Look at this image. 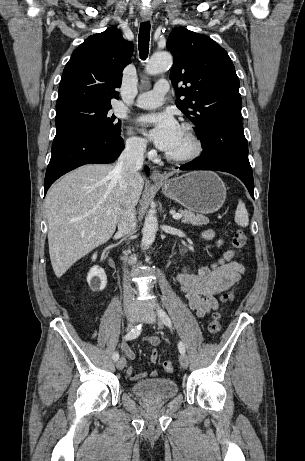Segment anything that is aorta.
Masks as SVG:
<instances>
[{"label":"aorta","instance_id":"obj_1","mask_svg":"<svg viewBox=\"0 0 305 461\" xmlns=\"http://www.w3.org/2000/svg\"><path fill=\"white\" fill-rule=\"evenodd\" d=\"M172 63L173 59L169 53H155L146 65V73L149 75L158 74L171 67ZM157 228V217L155 216L154 212L149 211L147 216L145 217L144 226L142 230V244L145 247L151 245L154 242Z\"/></svg>","mask_w":305,"mask_h":461}]
</instances>
